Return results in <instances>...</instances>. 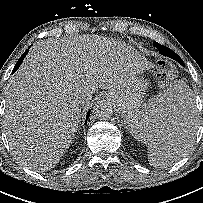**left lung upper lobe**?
<instances>
[{"label": "left lung upper lobe", "instance_id": "obj_1", "mask_svg": "<svg viewBox=\"0 0 203 203\" xmlns=\"http://www.w3.org/2000/svg\"><path fill=\"white\" fill-rule=\"evenodd\" d=\"M154 46L156 47V48H159V47H164V46H162L161 44H158V43H156V42H154ZM167 48V47H166ZM174 53V52H173ZM176 55V54H175ZM177 59H178V57H177ZM178 61H179V59H178ZM180 63H181V61H179ZM182 64V63H181Z\"/></svg>", "mask_w": 203, "mask_h": 203}]
</instances>
